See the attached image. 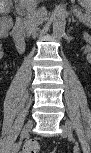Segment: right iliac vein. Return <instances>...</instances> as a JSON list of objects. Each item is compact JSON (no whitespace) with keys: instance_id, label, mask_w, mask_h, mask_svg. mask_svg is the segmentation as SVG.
<instances>
[{"instance_id":"63e3f726","label":"right iliac vein","mask_w":91,"mask_h":153,"mask_svg":"<svg viewBox=\"0 0 91 153\" xmlns=\"http://www.w3.org/2000/svg\"><path fill=\"white\" fill-rule=\"evenodd\" d=\"M33 122L32 120L27 121V123L25 124V126L23 127V130L21 132V140H23L24 138L28 137L31 128H32ZM20 145L19 146H15L13 148V153H17L19 151Z\"/></svg>"}]
</instances>
